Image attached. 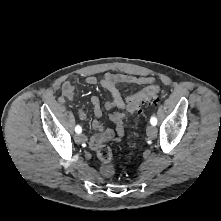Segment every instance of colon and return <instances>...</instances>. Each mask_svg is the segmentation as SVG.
Wrapping results in <instances>:
<instances>
[{
	"mask_svg": "<svg viewBox=\"0 0 221 221\" xmlns=\"http://www.w3.org/2000/svg\"><path fill=\"white\" fill-rule=\"evenodd\" d=\"M158 92V85L151 84L130 96L126 102L127 111L130 113L140 112L145 104L154 102L157 99ZM97 156L102 163L100 167L101 174L107 178L112 177L115 173V168L111 163L112 150L108 146L102 145L97 149Z\"/></svg>",
	"mask_w": 221,
	"mask_h": 221,
	"instance_id": "colon-1",
	"label": "colon"
}]
</instances>
